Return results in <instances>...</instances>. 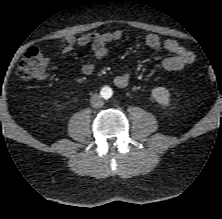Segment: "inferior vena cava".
<instances>
[{
	"instance_id": "obj_1",
	"label": "inferior vena cava",
	"mask_w": 222,
	"mask_h": 219,
	"mask_svg": "<svg viewBox=\"0 0 222 219\" xmlns=\"http://www.w3.org/2000/svg\"><path fill=\"white\" fill-rule=\"evenodd\" d=\"M90 103L93 108H100L104 105L102 97L98 94L92 95Z\"/></svg>"
}]
</instances>
